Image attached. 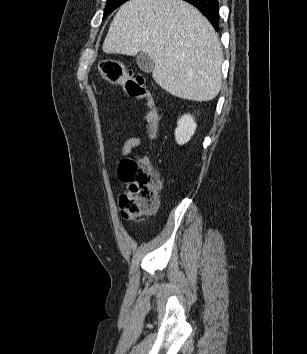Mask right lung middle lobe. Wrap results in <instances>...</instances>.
I'll return each instance as SVG.
<instances>
[{
  "label": "right lung middle lobe",
  "instance_id": "right-lung-middle-lobe-1",
  "mask_svg": "<svg viewBox=\"0 0 307 354\" xmlns=\"http://www.w3.org/2000/svg\"><path fill=\"white\" fill-rule=\"evenodd\" d=\"M126 1L128 0H108L106 4V8L104 10L103 18H105L106 15H108L110 12L118 8L121 4H123Z\"/></svg>",
  "mask_w": 307,
  "mask_h": 354
}]
</instances>
